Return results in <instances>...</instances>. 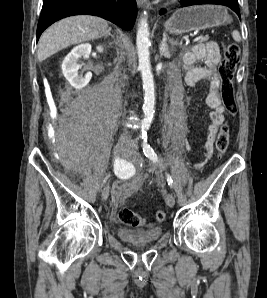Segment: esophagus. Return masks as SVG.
<instances>
[{
  "label": "esophagus",
  "instance_id": "34e87169",
  "mask_svg": "<svg viewBox=\"0 0 267 298\" xmlns=\"http://www.w3.org/2000/svg\"><path fill=\"white\" fill-rule=\"evenodd\" d=\"M139 7L150 9V5L147 0H136Z\"/></svg>",
  "mask_w": 267,
  "mask_h": 298
}]
</instances>
